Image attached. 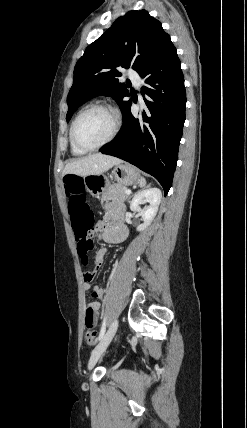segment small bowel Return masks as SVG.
<instances>
[{
	"instance_id": "c3829d8e",
	"label": "small bowel",
	"mask_w": 247,
	"mask_h": 428,
	"mask_svg": "<svg viewBox=\"0 0 247 428\" xmlns=\"http://www.w3.org/2000/svg\"><path fill=\"white\" fill-rule=\"evenodd\" d=\"M100 230L102 232V236L105 241L110 243H120L127 238L128 229L123 223L121 209L116 206H108L105 214V221L100 226ZM107 250L105 248H101L97 251L95 255V269L98 270L102 261L106 256ZM94 278V274L91 272H87L84 274V284L83 287L85 290L92 289V297L97 301L103 298L104 292L99 286H92L91 281ZM94 301V300H93ZM100 303V302H99ZM87 304L85 306V318L87 313ZM101 306V304H100Z\"/></svg>"
}]
</instances>
